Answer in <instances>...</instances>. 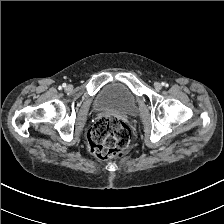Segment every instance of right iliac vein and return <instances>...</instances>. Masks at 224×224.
<instances>
[{
    "mask_svg": "<svg viewBox=\"0 0 224 224\" xmlns=\"http://www.w3.org/2000/svg\"><path fill=\"white\" fill-rule=\"evenodd\" d=\"M66 89H67L68 91H70V90L72 89V85H68V86L66 87Z\"/></svg>",
    "mask_w": 224,
    "mask_h": 224,
    "instance_id": "63e3f726",
    "label": "right iliac vein"
}]
</instances>
